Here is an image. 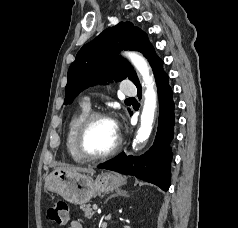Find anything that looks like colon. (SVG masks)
I'll use <instances>...</instances> for the list:
<instances>
[{
  "label": "colon",
  "instance_id": "obj_1",
  "mask_svg": "<svg viewBox=\"0 0 238 228\" xmlns=\"http://www.w3.org/2000/svg\"><path fill=\"white\" fill-rule=\"evenodd\" d=\"M69 216V206L63 201L50 205L46 210L47 220L59 226L66 225L69 221Z\"/></svg>",
  "mask_w": 238,
  "mask_h": 228
}]
</instances>
